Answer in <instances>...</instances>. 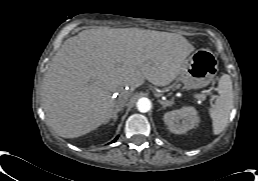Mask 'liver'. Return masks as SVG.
<instances>
[{
	"label": "liver",
	"mask_w": 258,
	"mask_h": 181,
	"mask_svg": "<svg viewBox=\"0 0 258 181\" xmlns=\"http://www.w3.org/2000/svg\"><path fill=\"white\" fill-rule=\"evenodd\" d=\"M194 50L175 33L138 28L80 32L62 44L43 79L41 105L49 126L63 138L91 132L110 120L115 93L131 94L145 80L170 84Z\"/></svg>",
	"instance_id": "6515ba94"
}]
</instances>
